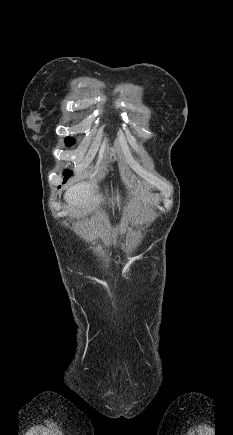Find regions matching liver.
<instances>
[{"mask_svg":"<svg viewBox=\"0 0 233 435\" xmlns=\"http://www.w3.org/2000/svg\"><path fill=\"white\" fill-rule=\"evenodd\" d=\"M95 193L94 186L90 182H80L66 190L64 199L69 207H73L74 209L84 213H89L94 210L100 202L104 201L100 194ZM115 200L119 205V194H117ZM111 201L113 203V199Z\"/></svg>","mask_w":233,"mask_h":435,"instance_id":"6515ba94","label":"liver"}]
</instances>
